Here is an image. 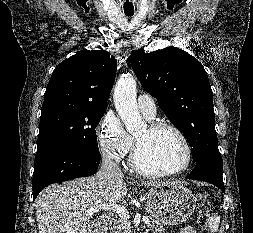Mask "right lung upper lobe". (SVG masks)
<instances>
[{"instance_id": "right-lung-upper-lobe-1", "label": "right lung upper lobe", "mask_w": 253, "mask_h": 233, "mask_svg": "<svg viewBox=\"0 0 253 233\" xmlns=\"http://www.w3.org/2000/svg\"><path fill=\"white\" fill-rule=\"evenodd\" d=\"M116 69L117 61L109 52L81 51L56 66L44 94V104L107 105Z\"/></svg>"}]
</instances>
